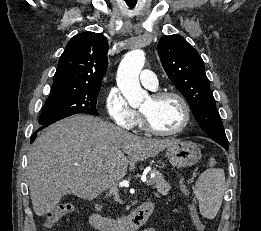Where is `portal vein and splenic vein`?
Wrapping results in <instances>:
<instances>
[{
	"label": "portal vein and splenic vein",
	"mask_w": 261,
	"mask_h": 231,
	"mask_svg": "<svg viewBox=\"0 0 261 231\" xmlns=\"http://www.w3.org/2000/svg\"><path fill=\"white\" fill-rule=\"evenodd\" d=\"M144 183L146 184V185H152V179H145L144 180Z\"/></svg>",
	"instance_id": "portal-vein-and-splenic-vein-1"
}]
</instances>
